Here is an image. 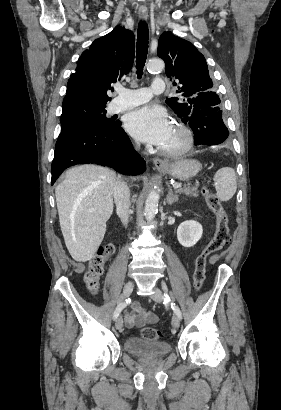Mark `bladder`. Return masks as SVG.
Listing matches in <instances>:
<instances>
[{
    "mask_svg": "<svg viewBox=\"0 0 281 410\" xmlns=\"http://www.w3.org/2000/svg\"><path fill=\"white\" fill-rule=\"evenodd\" d=\"M124 347L127 353L144 359L161 358L171 351V345L166 341L148 340L136 336L127 337Z\"/></svg>",
    "mask_w": 281,
    "mask_h": 410,
    "instance_id": "31cf9c89",
    "label": "bladder"
}]
</instances>
